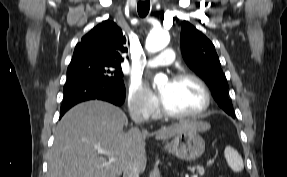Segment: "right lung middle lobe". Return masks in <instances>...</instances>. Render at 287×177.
Returning a JSON list of instances; mask_svg holds the SVG:
<instances>
[{"label": "right lung middle lobe", "instance_id": "dd1d6c3e", "mask_svg": "<svg viewBox=\"0 0 287 177\" xmlns=\"http://www.w3.org/2000/svg\"><path fill=\"white\" fill-rule=\"evenodd\" d=\"M77 77H92L105 82L119 83L122 81L123 73L120 66L111 62L79 61L70 63L67 69V79Z\"/></svg>", "mask_w": 287, "mask_h": 177}]
</instances>
